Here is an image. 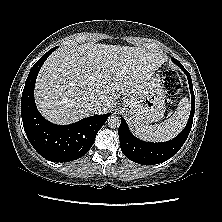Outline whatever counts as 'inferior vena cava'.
<instances>
[{"instance_id": "602c4592", "label": "inferior vena cava", "mask_w": 222, "mask_h": 222, "mask_svg": "<svg viewBox=\"0 0 222 222\" xmlns=\"http://www.w3.org/2000/svg\"><path fill=\"white\" fill-rule=\"evenodd\" d=\"M100 102L96 99H92L88 102H86L85 106L92 112L97 113V111L100 109Z\"/></svg>"}]
</instances>
